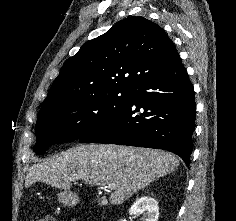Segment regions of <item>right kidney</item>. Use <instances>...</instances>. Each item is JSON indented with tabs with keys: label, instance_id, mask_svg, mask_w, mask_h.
<instances>
[{
	"label": "right kidney",
	"instance_id": "ca27d5eb",
	"mask_svg": "<svg viewBox=\"0 0 236 221\" xmlns=\"http://www.w3.org/2000/svg\"><path fill=\"white\" fill-rule=\"evenodd\" d=\"M142 213L145 221H157L159 217L158 202L150 196H142L129 209L131 216ZM121 221H127L123 219Z\"/></svg>",
	"mask_w": 236,
	"mask_h": 221
}]
</instances>
